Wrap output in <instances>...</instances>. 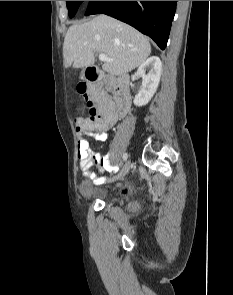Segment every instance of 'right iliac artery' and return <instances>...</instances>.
I'll return each instance as SVG.
<instances>
[{
    "label": "right iliac artery",
    "mask_w": 233,
    "mask_h": 295,
    "mask_svg": "<svg viewBox=\"0 0 233 295\" xmlns=\"http://www.w3.org/2000/svg\"><path fill=\"white\" fill-rule=\"evenodd\" d=\"M127 157H128V154L125 153V154L123 155V160L125 161V160L127 159Z\"/></svg>",
    "instance_id": "82829eb1"
}]
</instances>
